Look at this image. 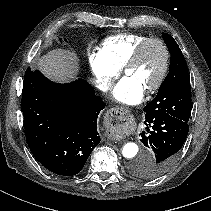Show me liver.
<instances>
[{"mask_svg":"<svg viewBox=\"0 0 211 211\" xmlns=\"http://www.w3.org/2000/svg\"><path fill=\"white\" fill-rule=\"evenodd\" d=\"M37 65L47 76L59 81L73 78L78 70L76 54L62 49L50 51Z\"/></svg>","mask_w":211,"mask_h":211,"instance_id":"1","label":"liver"}]
</instances>
